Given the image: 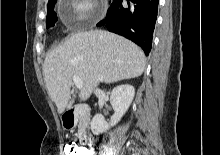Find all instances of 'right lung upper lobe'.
<instances>
[{"mask_svg": "<svg viewBox=\"0 0 220 155\" xmlns=\"http://www.w3.org/2000/svg\"><path fill=\"white\" fill-rule=\"evenodd\" d=\"M54 0H49V2L48 3H51V2H53Z\"/></svg>", "mask_w": 220, "mask_h": 155, "instance_id": "obj_1", "label": "right lung upper lobe"}]
</instances>
